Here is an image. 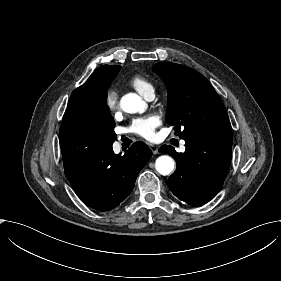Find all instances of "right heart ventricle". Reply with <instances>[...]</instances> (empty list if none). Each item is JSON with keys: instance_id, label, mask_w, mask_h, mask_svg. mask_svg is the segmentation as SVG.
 I'll use <instances>...</instances> for the list:
<instances>
[{"instance_id": "1", "label": "right heart ventricle", "mask_w": 281, "mask_h": 281, "mask_svg": "<svg viewBox=\"0 0 281 281\" xmlns=\"http://www.w3.org/2000/svg\"><path fill=\"white\" fill-rule=\"evenodd\" d=\"M126 85L136 90L143 98H146L149 92H154L153 86L141 76L130 78L127 80Z\"/></svg>"}]
</instances>
